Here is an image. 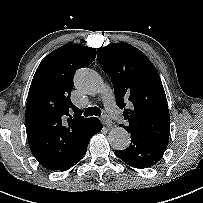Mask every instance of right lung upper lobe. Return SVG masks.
<instances>
[{
	"label": "right lung upper lobe",
	"instance_id": "right-lung-upper-lobe-1",
	"mask_svg": "<svg viewBox=\"0 0 203 203\" xmlns=\"http://www.w3.org/2000/svg\"><path fill=\"white\" fill-rule=\"evenodd\" d=\"M96 49L64 45L39 64L26 104V132L33 156L48 170H61L97 118H84L70 100L74 73L89 66Z\"/></svg>",
	"mask_w": 203,
	"mask_h": 203
}]
</instances>
